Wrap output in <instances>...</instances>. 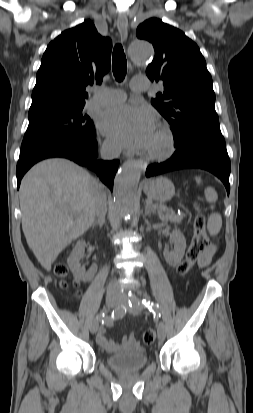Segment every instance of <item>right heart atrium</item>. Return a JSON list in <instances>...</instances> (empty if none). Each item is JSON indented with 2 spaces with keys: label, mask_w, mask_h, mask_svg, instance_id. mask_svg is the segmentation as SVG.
Masks as SVG:
<instances>
[{
  "label": "right heart atrium",
  "mask_w": 253,
  "mask_h": 413,
  "mask_svg": "<svg viewBox=\"0 0 253 413\" xmlns=\"http://www.w3.org/2000/svg\"><path fill=\"white\" fill-rule=\"evenodd\" d=\"M118 151H119V147H118V145H117L115 142H113V141H111V140H109V139H106V140L103 142V144H102V152H103L105 155H107V156H112V155L117 154Z\"/></svg>",
  "instance_id": "right-heart-atrium-1"
}]
</instances>
